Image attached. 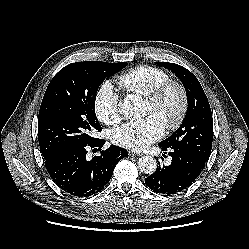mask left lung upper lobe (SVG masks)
I'll list each match as a JSON object with an SVG mask.
<instances>
[{"label": "left lung upper lobe", "mask_w": 249, "mask_h": 249, "mask_svg": "<svg viewBox=\"0 0 249 249\" xmlns=\"http://www.w3.org/2000/svg\"><path fill=\"white\" fill-rule=\"evenodd\" d=\"M158 64L171 70L181 80L188 100V109L180 128L159 145L190 151L207 161L212 148L213 119L202 86L195 75L186 68L174 63Z\"/></svg>", "instance_id": "left-lung-upper-lobe-1"}]
</instances>
